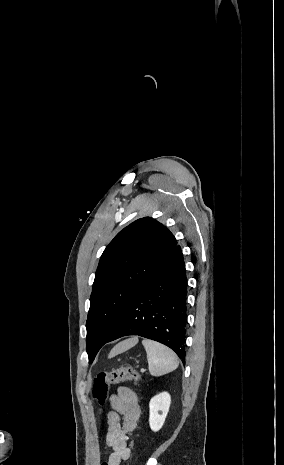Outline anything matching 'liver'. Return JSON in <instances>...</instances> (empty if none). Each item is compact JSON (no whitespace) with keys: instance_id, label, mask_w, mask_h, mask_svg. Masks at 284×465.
<instances>
[{"instance_id":"obj_1","label":"liver","mask_w":284,"mask_h":465,"mask_svg":"<svg viewBox=\"0 0 284 465\" xmlns=\"http://www.w3.org/2000/svg\"><path fill=\"white\" fill-rule=\"evenodd\" d=\"M138 343V337H132V339H126V341H121L118 345H115L114 349L110 351L108 359H112L115 355H120V353H125L128 349H132Z\"/></svg>"}]
</instances>
